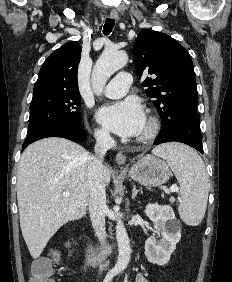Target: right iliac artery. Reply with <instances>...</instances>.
<instances>
[{
    "label": "right iliac artery",
    "instance_id": "right-iliac-artery-1",
    "mask_svg": "<svg viewBox=\"0 0 232 282\" xmlns=\"http://www.w3.org/2000/svg\"><path fill=\"white\" fill-rule=\"evenodd\" d=\"M114 275H115L114 271L108 272V274L106 275V277H105L103 282H111V280L113 279Z\"/></svg>",
    "mask_w": 232,
    "mask_h": 282
}]
</instances>
